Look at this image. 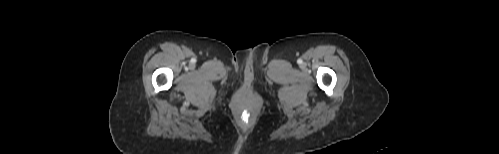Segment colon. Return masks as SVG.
I'll return each mask as SVG.
<instances>
[{
    "mask_svg": "<svg viewBox=\"0 0 499 154\" xmlns=\"http://www.w3.org/2000/svg\"><path fill=\"white\" fill-rule=\"evenodd\" d=\"M242 118L243 120L247 121L249 119V114L247 112H244Z\"/></svg>",
    "mask_w": 499,
    "mask_h": 154,
    "instance_id": "obj_1",
    "label": "colon"
}]
</instances>
